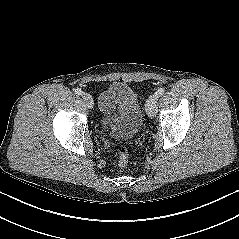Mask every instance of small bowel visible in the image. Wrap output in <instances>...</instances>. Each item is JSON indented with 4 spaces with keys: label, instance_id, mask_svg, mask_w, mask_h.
<instances>
[{
    "label": "small bowel",
    "instance_id": "obj_1",
    "mask_svg": "<svg viewBox=\"0 0 239 239\" xmlns=\"http://www.w3.org/2000/svg\"><path fill=\"white\" fill-rule=\"evenodd\" d=\"M114 91L112 89H108L103 92L99 99V105L101 110L104 112L105 116L108 118L115 110L113 105Z\"/></svg>",
    "mask_w": 239,
    "mask_h": 239
}]
</instances>
